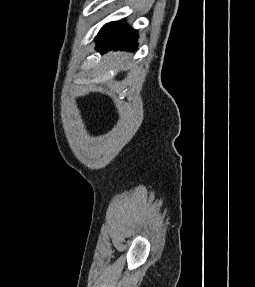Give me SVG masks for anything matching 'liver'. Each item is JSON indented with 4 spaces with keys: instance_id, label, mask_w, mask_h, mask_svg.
<instances>
[{
    "instance_id": "obj_1",
    "label": "liver",
    "mask_w": 255,
    "mask_h": 287,
    "mask_svg": "<svg viewBox=\"0 0 255 287\" xmlns=\"http://www.w3.org/2000/svg\"><path fill=\"white\" fill-rule=\"evenodd\" d=\"M118 56H121V54H118ZM111 58L115 60V68H118V70H127L128 66H130V64H125V60L126 62L129 60V56H127V54H124L122 60H119L115 54H107L106 60H111Z\"/></svg>"
}]
</instances>
